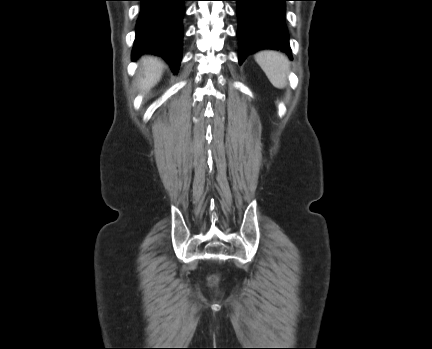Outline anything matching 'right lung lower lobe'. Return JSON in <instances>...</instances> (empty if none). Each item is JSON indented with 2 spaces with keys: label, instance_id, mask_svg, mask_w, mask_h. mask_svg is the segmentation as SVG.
Instances as JSON below:
<instances>
[{
  "label": "right lung lower lobe",
  "instance_id": "1",
  "mask_svg": "<svg viewBox=\"0 0 432 349\" xmlns=\"http://www.w3.org/2000/svg\"><path fill=\"white\" fill-rule=\"evenodd\" d=\"M133 60L141 54L162 56L177 73L182 56V18L186 0H139Z\"/></svg>",
  "mask_w": 432,
  "mask_h": 349
}]
</instances>
